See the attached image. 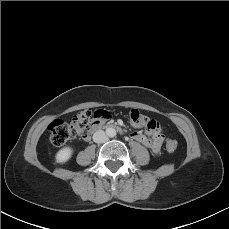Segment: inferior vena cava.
I'll return each instance as SVG.
<instances>
[{
    "label": "inferior vena cava",
    "instance_id": "inferior-vena-cava-1",
    "mask_svg": "<svg viewBox=\"0 0 229 229\" xmlns=\"http://www.w3.org/2000/svg\"><path fill=\"white\" fill-rule=\"evenodd\" d=\"M107 140H108V137L103 130H98L93 134V141L95 143H104Z\"/></svg>",
    "mask_w": 229,
    "mask_h": 229
}]
</instances>
